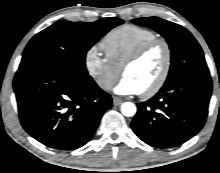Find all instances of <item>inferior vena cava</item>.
<instances>
[{"label":"inferior vena cava","instance_id":"obj_1","mask_svg":"<svg viewBox=\"0 0 220 173\" xmlns=\"http://www.w3.org/2000/svg\"><path fill=\"white\" fill-rule=\"evenodd\" d=\"M113 84L111 82H105L103 85H102V88L104 90H110L112 88Z\"/></svg>","mask_w":220,"mask_h":173}]
</instances>
